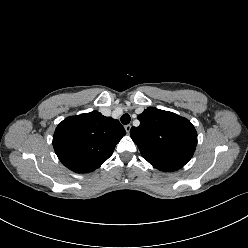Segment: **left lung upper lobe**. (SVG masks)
Instances as JSON below:
<instances>
[{
  "mask_svg": "<svg viewBox=\"0 0 248 248\" xmlns=\"http://www.w3.org/2000/svg\"><path fill=\"white\" fill-rule=\"evenodd\" d=\"M138 119L140 125L131 128L130 136L153 167L176 171L191 159L197 132L188 119L154 107L144 110Z\"/></svg>",
  "mask_w": 248,
  "mask_h": 248,
  "instance_id": "5c2ea615",
  "label": "left lung upper lobe"
}]
</instances>
